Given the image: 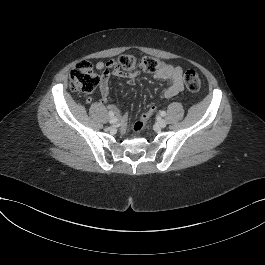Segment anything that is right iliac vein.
I'll list each match as a JSON object with an SVG mask.
<instances>
[{"instance_id":"right-iliac-vein-1","label":"right iliac vein","mask_w":265,"mask_h":265,"mask_svg":"<svg viewBox=\"0 0 265 265\" xmlns=\"http://www.w3.org/2000/svg\"><path fill=\"white\" fill-rule=\"evenodd\" d=\"M117 121H118V119L115 116H112V117L109 118V122L111 124H115V123H117Z\"/></svg>"}]
</instances>
